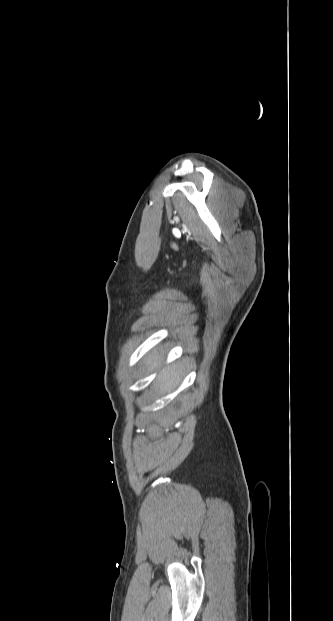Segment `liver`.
Instances as JSON below:
<instances>
[{"label":"liver","instance_id":"6515ba94","mask_svg":"<svg viewBox=\"0 0 333 621\" xmlns=\"http://www.w3.org/2000/svg\"><path fill=\"white\" fill-rule=\"evenodd\" d=\"M164 357L159 356L156 349L152 350L144 359L147 372L150 373L160 367ZM183 375V366L181 364H172L163 368L156 377V385L159 393L172 391L181 382Z\"/></svg>","mask_w":333,"mask_h":621}]
</instances>
